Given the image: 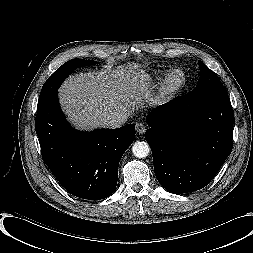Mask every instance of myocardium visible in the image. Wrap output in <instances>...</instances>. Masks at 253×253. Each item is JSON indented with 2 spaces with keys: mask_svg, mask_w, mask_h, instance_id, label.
<instances>
[{
  "mask_svg": "<svg viewBox=\"0 0 253 253\" xmlns=\"http://www.w3.org/2000/svg\"><path fill=\"white\" fill-rule=\"evenodd\" d=\"M185 85V76L179 69L171 71L163 80L161 91L164 96H172L182 90Z\"/></svg>",
  "mask_w": 253,
  "mask_h": 253,
  "instance_id": "1",
  "label": "myocardium"
}]
</instances>
